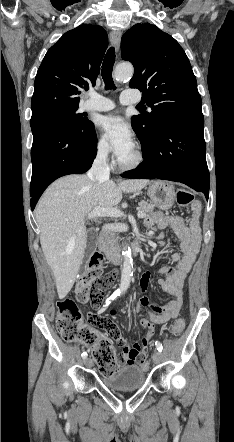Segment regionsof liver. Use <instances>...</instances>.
Listing matches in <instances>:
<instances>
[{"label":"liver","instance_id":"1","mask_svg":"<svg viewBox=\"0 0 234 442\" xmlns=\"http://www.w3.org/2000/svg\"><path fill=\"white\" fill-rule=\"evenodd\" d=\"M149 180L96 181L86 175L64 176L44 192L36 207L40 243L63 299L74 285L87 244L85 218L96 207L112 208L122 193L140 191Z\"/></svg>","mask_w":234,"mask_h":442}]
</instances>
